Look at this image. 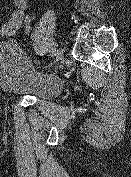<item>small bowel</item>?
Wrapping results in <instances>:
<instances>
[{
	"label": "small bowel",
	"instance_id": "obj_1",
	"mask_svg": "<svg viewBox=\"0 0 131 177\" xmlns=\"http://www.w3.org/2000/svg\"><path fill=\"white\" fill-rule=\"evenodd\" d=\"M28 0H13L14 9L9 19L0 26V36L14 37L24 26L26 34L31 31V19L26 13Z\"/></svg>",
	"mask_w": 131,
	"mask_h": 177
}]
</instances>
